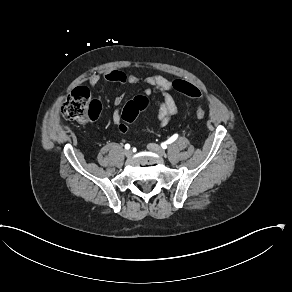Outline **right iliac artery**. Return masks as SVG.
<instances>
[{"label": "right iliac artery", "mask_w": 292, "mask_h": 292, "mask_svg": "<svg viewBox=\"0 0 292 292\" xmlns=\"http://www.w3.org/2000/svg\"><path fill=\"white\" fill-rule=\"evenodd\" d=\"M130 148V145L129 144H125V149H129Z\"/></svg>", "instance_id": "right-iliac-artery-1"}]
</instances>
